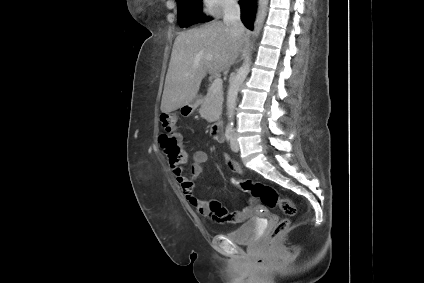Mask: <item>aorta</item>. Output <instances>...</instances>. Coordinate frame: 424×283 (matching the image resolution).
Returning a JSON list of instances; mask_svg holds the SVG:
<instances>
[{
    "label": "aorta",
    "instance_id": "aorta-1",
    "mask_svg": "<svg viewBox=\"0 0 424 283\" xmlns=\"http://www.w3.org/2000/svg\"><path fill=\"white\" fill-rule=\"evenodd\" d=\"M268 4H269V0H258V8H257L256 19H255V28H254L255 36L259 34L262 28V25L264 23V20L267 16ZM250 65H251V52L248 51V53L246 54L245 62L239 68L237 74L232 79L230 87L228 89V93H227L226 107H227L228 122L230 125H233L237 95H238L240 86L243 84L248 73L250 72Z\"/></svg>",
    "mask_w": 424,
    "mask_h": 283
}]
</instances>
